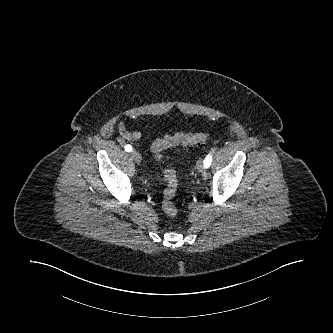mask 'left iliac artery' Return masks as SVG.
<instances>
[{"mask_svg": "<svg viewBox=\"0 0 333 333\" xmlns=\"http://www.w3.org/2000/svg\"><path fill=\"white\" fill-rule=\"evenodd\" d=\"M211 162H212V154H208L203 161L205 168H208L211 165Z\"/></svg>", "mask_w": 333, "mask_h": 333, "instance_id": "obj_1", "label": "left iliac artery"}]
</instances>
